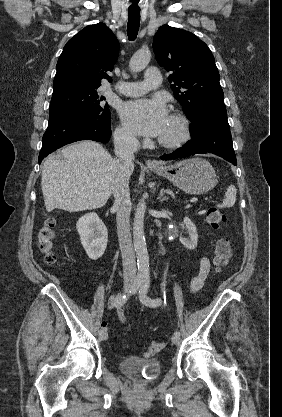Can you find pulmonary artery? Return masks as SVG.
<instances>
[{
  "label": "pulmonary artery",
  "mask_w": 282,
  "mask_h": 417,
  "mask_svg": "<svg viewBox=\"0 0 282 417\" xmlns=\"http://www.w3.org/2000/svg\"><path fill=\"white\" fill-rule=\"evenodd\" d=\"M160 81V70L149 69L145 70L144 79L142 81L126 82L116 86L115 89L126 96H139L144 94L147 90L157 87L160 84Z\"/></svg>",
  "instance_id": "obj_1"
}]
</instances>
